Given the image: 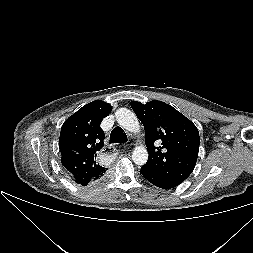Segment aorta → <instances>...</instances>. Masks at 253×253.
Masks as SVG:
<instances>
[{
    "mask_svg": "<svg viewBox=\"0 0 253 253\" xmlns=\"http://www.w3.org/2000/svg\"><path fill=\"white\" fill-rule=\"evenodd\" d=\"M118 124L129 132L138 133L140 124L136 115L127 108H119L115 112ZM132 160L137 165H144L148 160V152L144 146H138L132 152Z\"/></svg>",
    "mask_w": 253,
    "mask_h": 253,
    "instance_id": "obj_1",
    "label": "aorta"
}]
</instances>
